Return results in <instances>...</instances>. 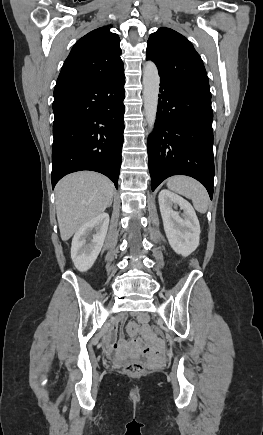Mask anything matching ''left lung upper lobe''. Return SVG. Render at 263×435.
I'll use <instances>...</instances> for the list:
<instances>
[{
  "mask_svg": "<svg viewBox=\"0 0 263 435\" xmlns=\"http://www.w3.org/2000/svg\"><path fill=\"white\" fill-rule=\"evenodd\" d=\"M146 59L157 65L161 79L210 93L201 57L191 42L178 32L162 27L152 33Z\"/></svg>",
  "mask_w": 263,
  "mask_h": 435,
  "instance_id": "obj_1",
  "label": "left lung upper lobe"
}]
</instances>
